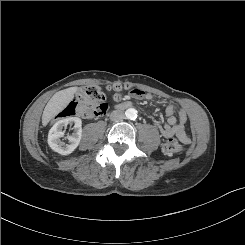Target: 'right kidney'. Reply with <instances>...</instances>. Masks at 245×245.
Returning <instances> with one entry per match:
<instances>
[{"instance_id": "obj_1", "label": "right kidney", "mask_w": 245, "mask_h": 245, "mask_svg": "<svg viewBox=\"0 0 245 245\" xmlns=\"http://www.w3.org/2000/svg\"><path fill=\"white\" fill-rule=\"evenodd\" d=\"M68 124L73 126V133L67 136L69 143H65L60 140L64 136L62 129ZM82 136V121L78 117H68L56 122L49 131L48 134V145L50 148L61 154L69 155L71 154L79 145Z\"/></svg>"}]
</instances>
